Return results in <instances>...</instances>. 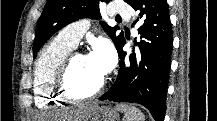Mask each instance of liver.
I'll return each instance as SVG.
<instances>
[{"mask_svg": "<svg viewBox=\"0 0 217 121\" xmlns=\"http://www.w3.org/2000/svg\"><path fill=\"white\" fill-rule=\"evenodd\" d=\"M95 105L83 106L79 110L72 112L71 114L65 115V119H75V121H86L87 115L93 109Z\"/></svg>", "mask_w": 217, "mask_h": 121, "instance_id": "1", "label": "liver"}]
</instances>
